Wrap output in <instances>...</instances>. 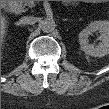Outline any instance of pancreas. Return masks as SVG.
<instances>
[{
	"mask_svg": "<svg viewBox=\"0 0 109 109\" xmlns=\"http://www.w3.org/2000/svg\"><path fill=\"white\" fill-rule=\"evenodd\" d=\"M23 6H28V7H32L34 5L33 2L31 1H22Z\"/></svg>",
	"mask_w": 109,
	"mask_h": 109,
	"instance_id": "obj_1",
	"label": "pancreas"
}]
</instances>
